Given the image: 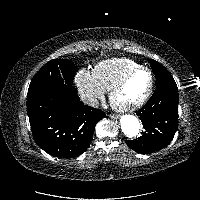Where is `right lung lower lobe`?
Instances as JSON below:
<instances>
[{
    "label": "right lung lower lobe",
    "instance_id": "right-lung-lower-lobe-1",
    "mask_svg": "<svg viewBox=\"0 0 200 200\" xmlns=\"http://www.w3.org/2000/svg\"><path fill=\"white\" fill-rule=\"evenodd\" d=\"M27 114L35 142L61 158L85 152L96 123L105 117L103 111L84 105L72 85L28 92Z\"/></svg>",
    "mask_w": 200,
    "mask_h": 200
}]
</instances>
